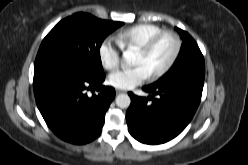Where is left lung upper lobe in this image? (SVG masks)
<instances>
[{"label":"left lung upper lobe","mask_w":248,"mask_h":165,"mask_svg":"<svg viewBox=\"0 0 248 165\" xmlns=\"http://www.w3.org/2000/svg\"><path fill=\"white\" fill-rule=\"evenodd\" d=\"M183 40L177 63L158 81L156 86L168 82H181L192 77H205L204 57L195 40L185 31L175 28Z\"/></svg>","instance_id":"5c2ea615"}]
</instances>
